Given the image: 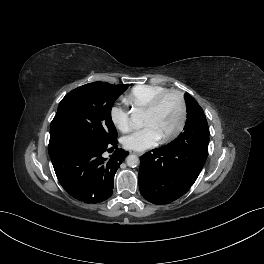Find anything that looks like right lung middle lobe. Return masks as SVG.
<instances>
[{"label":"right lung middle lobe","mask_w":264,"mask_h":264,"mask_svg":"<svg viewBox=\"0 0 264 264\" xmlns=\"http://www.w3.org/2000/svg\"><path fill=\"white\" fill-rule=\"evenodd\" d=\"M128 86L93 82L72 90L60 102L51 122L49 145L70 138L104 143L116 139L111 109Z\"/></svg>","instance_id":"right-lung-middle-lobe-1"}]
</instances>
